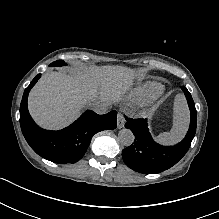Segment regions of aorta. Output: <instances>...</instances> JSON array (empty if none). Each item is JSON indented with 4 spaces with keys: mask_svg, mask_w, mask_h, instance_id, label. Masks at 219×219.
Masks as SVG:
<instances>
[{
    "mask_svg": "<svg viewBox=\"0 0 219 219\" xmlns=\"http://www.w3.org/2000/svg\"><path fill=\"white\" fill-rule=\"evenodd\" d=\"M135 140L134 134L131 130L123 128L118 133V141L123 146H130Z\"/></svg>",
    "mask_w": 219,
    "mask_h": 219,
    "instance_id": "762f6f07",
    "label": "aorta"
}]
</instances>
